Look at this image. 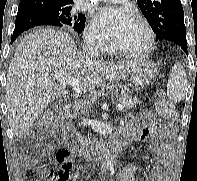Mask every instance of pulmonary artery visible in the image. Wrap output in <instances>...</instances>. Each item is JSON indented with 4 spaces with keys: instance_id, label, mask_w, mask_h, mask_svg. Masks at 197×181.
<instances>
[{
    "instance_id": "1",
    "label": "pulmonary artery",
    "mask_w": 197,
    "mask_h": 181,
    "mask_svg": "<svg viewBox=\"0 0 197 181\" xmlns=\"http://www.w3.org/2000/svg\"><path fill=\"white\" fill-rule=\"evenodd\" d=\"M101 1H104V2H116V3H122V2H125L127 0H101Z\"/></svg>"
}]
</instances>
